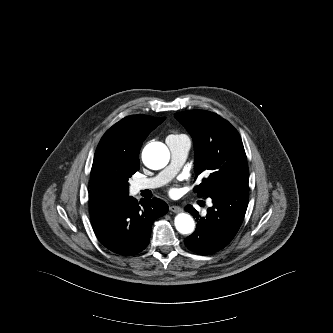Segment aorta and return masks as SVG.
<instances>
[{"label":"aorta","mask_w":333,"mask_h":333,"mask_svg":"<svg viewBox=\"0 0 333 333\" xmlns=\"http://www.w3.org/2000/svg\"><path fill=\"white\" fill-rule=\"evenodd\" d=\"M170 158L168 148L160 142L148 144L142 152L143 163L150 169L158 170L165 167ZM177 231L181 234H191L195 229L193 218L187 213H179L174 220Z\"/></svg>","instance_id":"aorta-1"}]
</instances>
